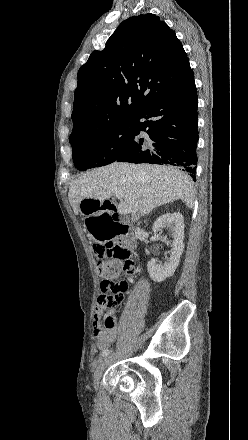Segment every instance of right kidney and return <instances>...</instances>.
<instances>
[{
	"label": "right kidney",
	"instance_id": "obj_1",
	"mask_svg": "<svg viewBox=\"0 0 248 440\" xmlns=\"http://www.w3.org/2000/svg\"><path fill=\"white\" fill-rule=\"evenodd\" d=\"M184 226L183 216L179 212L166 213L158 217L153 224L154 233L161 234L163 228H168L173 237L170 258L164 264L152 258L147 264L148 272L153 281L163 282L175 273L184 250Z\"/></svg>",
	"mask_w": 248,
	"mask_h": 440
}]
</instances>
